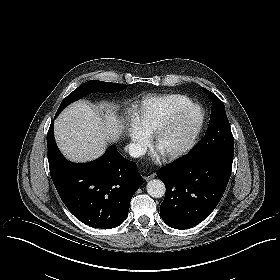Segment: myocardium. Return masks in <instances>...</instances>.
I'll return each instance as SVG.
<instances>
[{
	"instance_id": "myocardium-1",
	"label": "myocardium",
	"mask_w": 280,
	"mask_h": 280,
	"mask_svg": "<svg viewBox=\"0 0 280 280\" xmlns=\"http://www.w3.org/2000/svg\"><path fill=\"white\" fill-rule=\"evenodd\" d=\"M193 110H198V109L194 104H191L187 106L184 110H182L180 113H178L171 121H169L164 126H162V128L158 131V133L156 134V136L154 137L151 143V153L154 156L164 158V159L174 158L181 155L187 149L191 141L199 134L202 128V124H203L202 116L192 127L186 129L182 133V137L178 141L176 146L167 150H162L160 144L162 140L165 138V136L167 135V133L169 132V130L172 128V126L177 122L178 117L186 113H189L190 111Z\"/></svg>"
}]
</instances>
